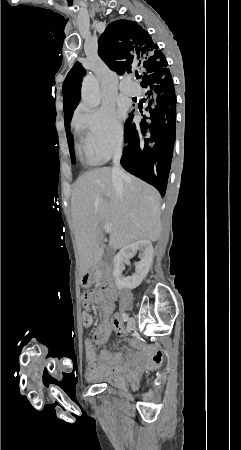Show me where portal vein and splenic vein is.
Returning <instances> with one entry per match:
<instances>
[{"label":"portal vein and splenic vein","instance_id":"18ae733b","mask_svg":"<svg viewBox=\"0 0 241 450\" xmlns=\"http://www.w3.org/2000/svg\"><path fill=\"white\" fill-rule=\"evenodd\" d=\"M104 232H107V234H110V232H111L110 226H104Z\"/></svg>","mask_w":241,"mask_h":450}]
</instances>
